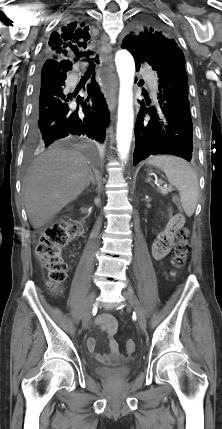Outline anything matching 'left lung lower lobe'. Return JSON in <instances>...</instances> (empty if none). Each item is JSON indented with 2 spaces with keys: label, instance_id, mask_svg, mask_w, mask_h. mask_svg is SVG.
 <instances>
[{
  "label": "left lung lower lobe",
  "instance_id": "obj_1",
  "mask_svg": "<svg viewBox=\"0 0 222 429\" xmlns=\"http://www.w3.org/2000/svg\"><path fill=\"white\" fill-rule=\"evenodd\" d=\"M166 42L153 59L143 49L131 46L137 70L146 61L159 77V105L147 109L143 100L139 101L142 108L134 130V165L156 154H171L187 161L192 157L193 125L184 56L174 40Z\"/></svg>",
  "mask_w": 222,
  "mask_h": 429
}]
</instances>
